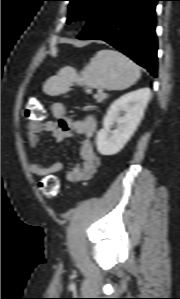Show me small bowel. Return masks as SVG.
Here are the masks:
<instances>
[{
  "label": "small bowel",
  "mask_w": 180,
  "mask_h": 299,
  "mask_svg": "<svg viewBox=\"0 0 180 299\" xmlns=\"http://www.w3.org/2000/svg\"><path fill=\"white\" fill-rule=\"evenodd\" d=\"M51 112L54 119L28 121L26 133L30 147L34 149L45 134H50L56 142L66 141L75 134L82 135L83 140L79 149L80 161L66 172L65 180L76 183L90 179L100 166V159L92 143L97 129L95 118L88 116L83 119H71L66 114L65 105L60 101L52 104ZM62 169L61 162L51 165H44L37 161L30 163V170L37 177L55 175Z\"/></svg>",
  "instance_id": "c3829d8e"
}]
</instances>
